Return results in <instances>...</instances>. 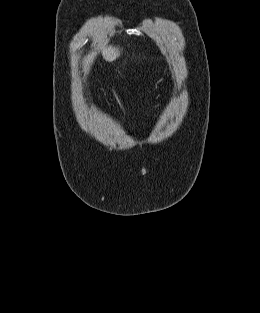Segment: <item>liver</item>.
I'll return each mask as SVG.
<instances>
[{"mask_svg":"<svg viewBox=\"0 0 260 313\" xmlns=\"http://www.w3.org/2000/svg\"><path fill=\"white\" fill-rule=\"evenodd\" d=\"M120 54L121 50H119L118 47L112 46L106 47L102 52L103 58L108 62L114 61L117 57L120 56Z\"/></svg>","mask_w":260,"mask_h":313,"instance_id":"obj_1","label":"liver"}]
</instances>
